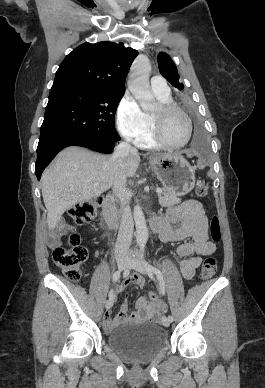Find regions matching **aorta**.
Returning a JSON list of instances; mask_svg holds the SVG:
<instances>
[{
  "label": "aorta",
  "mask_w": 265,
  "mask_h": 388,
  "mask_svg": "<svg viewBox=\"0 0 265 388\" xmlns=\"http://www.w3.org/2000/svg\"><path fill=\"white\" fill-rule=\"evenodd\" d=\"M150 70L151 65L148 58L140 55L131 67L128 82L129 90L144 110L149 109L153 105V95L149 85ZM133 214L136 225V242L139 246H144L148 240V229L139 204L135 205Z\"/></svg>",
  "instance_id": "762f6f07"
}]
</instances>
